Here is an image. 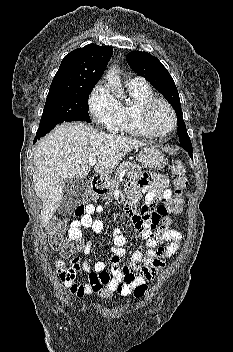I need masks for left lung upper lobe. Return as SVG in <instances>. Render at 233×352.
<instances>
[{
    "label": "left lung upper lobe",
    "mask_w": 233,
    "mask_h": 352,
    "mask_svg": "<svg viewBox=\"0 0 233 352\" xmlns=\"http://www.w3.org/2000/svg\"><path fill=\"white\" fill-rule=\"evenodd\" d=\"M131 69L138 75L148 80L175 109L178 122V137L180 146L187 152H193L190 138L187 134L186 125L183 121L181 104L178 90L168 70L158 58L147 52L132 51L126 56Z\"/></svg>",
    "instance_id": "1"
}]
</instances>
